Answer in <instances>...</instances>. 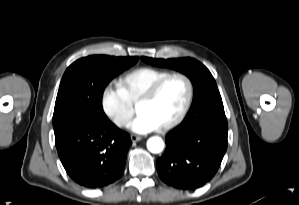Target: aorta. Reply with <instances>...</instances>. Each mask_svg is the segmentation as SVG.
Segmentation results:
<instances>
[{
  "instance_id": "obj_1",
  "label": "aorta",
  "mask_w": 299,
  "mask_h": 205,
  "mask_svg": "<svg viewBox=\"0 0 299 205\" xmlns=\"http://www.w3.org/2000/svg\"><path fill=\"white\" fill-rule=\"evenodd\" d=\"M147 148L151 153H160L164 149V142L158 136L151 137L147 141Z\"/></svg>"
}]
</instances>
